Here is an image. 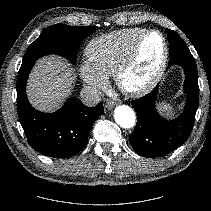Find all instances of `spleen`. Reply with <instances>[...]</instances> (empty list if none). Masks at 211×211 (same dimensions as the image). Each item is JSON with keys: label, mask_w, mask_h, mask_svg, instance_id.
<instances>
[{"label": "spleen", "mask_w": 211, "mask_h": 211, "mask_svg": "<svg viewBox=\"0 0 211 211\" xmlns=\"http://www.w3.org/2000/svg\"><path fill=\"white\" fill-rule=\"evenodd\" d=\"M162 108L167 111L168 115L173 114V108L170 104L165 103Z\"/></svg>", "instance_id": "3e777b00"}]
</instances>
